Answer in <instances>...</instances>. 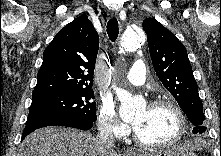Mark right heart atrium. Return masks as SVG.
<instances>
[{
  "label": "right heart atrium",
  "mask_w": 221,
  "mask_h": 156,
  "mask_svg": "<svg viewBox=\"0 0 221 156\" xmlns=\"http://www.w3.org/2000/svg\"><path fill=\"white\" fill-rule=\"evenodd\" d=\"M97 126L100 133L108 137L120 138L129 132L128 125L118 118L112 104L106 101L99 108Z\"/></svg>",
  "instance_id": "obj_1"
}]
</instances>
